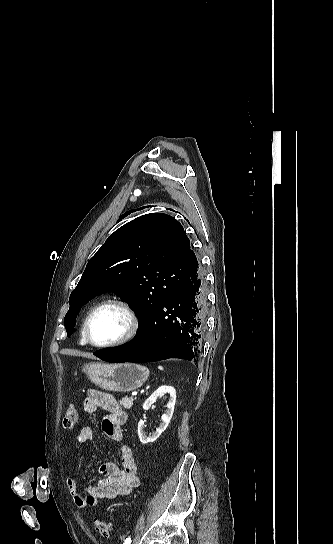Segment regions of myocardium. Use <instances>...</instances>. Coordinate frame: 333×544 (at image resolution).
Segmentation results:
<instances>
[{"mask_svg": "<svg viewBox=\"0 0 333 544\" xmlns=\"http://www.w3.org/2000/svg\"><path fill=\"white\" fill-rule=\"evenodd\" d=\"M106 305H116L120 307L128 317V327L126 332L120 338L108 343H96L90 337V333H89L90 322L94 314L100 308ZM138 329H139V318L137 316L135 309L131 305V303L124 298L114 296V297H107L101 300L100 302H98L96 305H94L91 308V310L89 311L84 321L83 336L86 343L95 348H100V349L112 348V347L123 345L126 342L130 341L137 334Z\"/></svg>", "mask_w": 333, "mask_h": 544, "instance_id": "1", "label": "myocardium"}]
</instances>
